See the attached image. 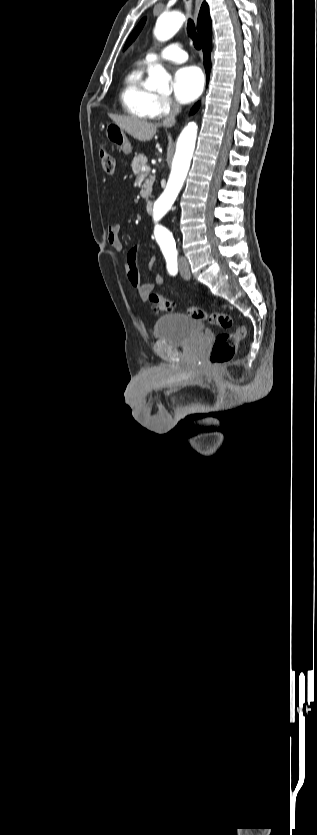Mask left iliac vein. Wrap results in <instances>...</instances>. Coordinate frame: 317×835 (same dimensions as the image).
Wrapping results in <instances>:
<instances>
[{"label":"left iliac vein","instance_id":"left-iliac-vein-1","mask_svg":"<svg viewBox=\"0 0 317 835\" xmlns=\"http://www.w3.org/2000/svg\"><path fill=\"white\" fill-rule=\"evenodd\" d=\"M179 268H180V274H181V276H182L184 279L189 280L191 276H190L189 263H188V261H187V259H186V258H181V259H180V261H179Z\"/></svg>","mask_w":317,"mask_h":835}]
</instances>
